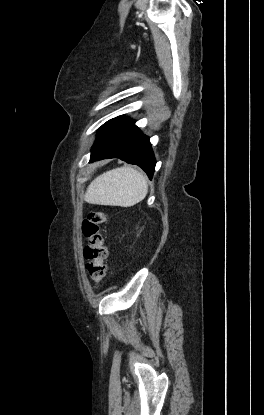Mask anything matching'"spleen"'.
Masks as SVG:
<instances>
[{
	"label": "spleen",
	"mask_w": 264,
	"mask_h": 415,
	"mask_svg": "<svg viewBox=\"0 0 264 415\" xmlns=\"http://www.w3.org/2000/svg\"><path fill=\"white\" fill-rule=\"evenodd\" d=\"M148 193L145 176L131 167L104 172L88 186L84 200L90 204L130 207Z\"/></svg>",
	"instance_id": "spleen-1"
}]
</instances>
